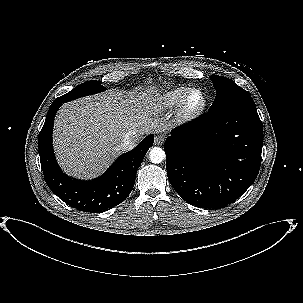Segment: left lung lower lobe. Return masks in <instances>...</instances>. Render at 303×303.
Returning a JSON list of instances; mask_svg holds the SVG:
<instances>
[{
	"mask_svg": "<svg viewBox=\"0 0 303 303\" xmlns=\"http://www.w3.org/2000/svg\"><path fill=\"white\" fill-rule=\"evenodd\" d=\"M262 146L256 107L207 112L166 139L168 179L187 203L223 208L255 181Z\"/></svg>",
	"mask_w": 303,
	"mask_h": 303,
	"instance_id": "0a47b994",
	"label": "left lung lower lobe"
}]
</instances>
